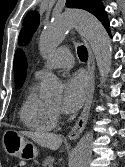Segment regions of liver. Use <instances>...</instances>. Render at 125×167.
<instances>
[{
	"label": "liver",
	"instance_id": "1",
	"mask_svg": "<svg viewBox=\"0 0 125 167\" xmlns=\"http://www.w3.org/2000/svg\"><path fill=\"white\" fill-rule=\"evenodd\" d=\"M22 136L31 138L34 142L42 147L49 148L51 150H57L62 144V137L53 133H39V132H18Z\"/></svg>",
	"mask_w": 125,
	"mask_h": 167
}]
</instances>
